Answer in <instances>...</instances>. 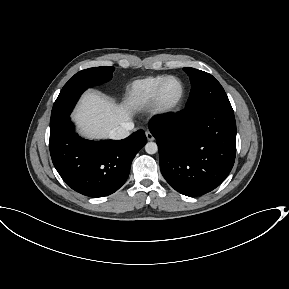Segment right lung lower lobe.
<instances>
[{
    "instance_id": "98d812e1",
    "label": "right lung lower lobe",
    "mask_w": 289,
    "mask_h": 289,
    "mask_svg": "<svg viewBox=\"0 0 289 289\" xmlns=\"http://www.w3.org/2000/svg\"><path fill=\"white\" fill-rule=\"evenodd\" d=\"M143 130L123 140L91 141L78 136L67 117L50 128L53 164L76 192L103 197L117 191L127 180L133 158L146 144Z\"/></svg>"
}]
</instances>
